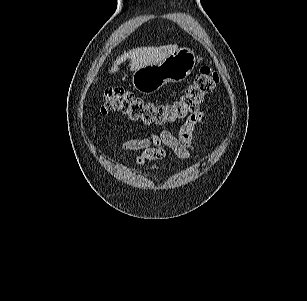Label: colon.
Masks as SVG:
<instances>
[{
    "instance_id": "5ec220e1",
    "label": "colon",
    "mask_w": 307,
    "mask_h": 301,
    "mask_svg": "<svg viewBox=\"0 0 307 301\" xmlns=\"http://www.w3.org/2000/svg\"><path fill=\"white\" fill-rule=\"evenodd\" d=\"M218 82V74L205 65L193 82L169 102L145 100L123 89H110L101 99V112H120L130 120L145 125H171L196 114L204 98L213 92Z\"/></svg>"
}]
</instances>
